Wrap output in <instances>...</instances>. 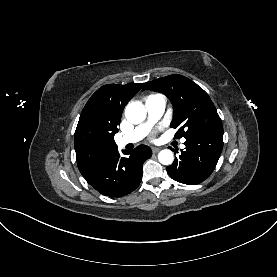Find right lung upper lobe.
I'll use <instances>...</instances> for the list:
<instances>
[{
  "instance_id": "1",
  "label": "right lung upper lobe",
  "mask_w": 277,
  "mask_h": 277,
  "mask_svg": "<svg viewBox=\"0 0 277 277\" xmlns=\"http://www.w3.org/2000/svg\"><path fill=\"white\" fill-rule=\"evenodd\" d=\"M143 84H107L88 100L80 115L74 137V148L83 175L118 150L114 135L128 101Z\"/></svg>"
}]
</instances>
